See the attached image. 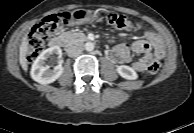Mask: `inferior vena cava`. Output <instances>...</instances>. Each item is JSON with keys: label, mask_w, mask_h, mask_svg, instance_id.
<instances>
[{"label": "inferior vena cava", "mask_w": 194, "mask_h": 133, "mask_svg": "<svg viewBox=\"0 0 194 133\" xmlns=\"http://www.w3.org/2000/svg\"><path fill=\"white\" fill-rule=\"evenodd\" d=\"M82 48L78 46H71L67 48L66 52L69 57H77L81 54Z\"/></svg>", "instance_id": "602c4592"}]
</instances>
